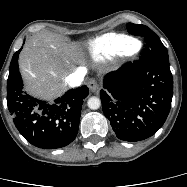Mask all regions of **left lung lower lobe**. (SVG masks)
Instances as JSON below:
<instances>
[{
  "mask_svg": "<svg viewBox=\"0 0 187 187\" xmlns=\"http://www.w3.org/2000/svg\"><path fill=\"white\" fill-rule=\"evenodd\" d=\"M103 85L102 109L119 139L144 140L164 124L173 96L169 61L139 59L106 75Z\"/></svg>",
  "mask_w": 187,
  "mask_h": 187,
  "instance_id": "obj_1",
  "label": "left lung lower lobe"
}]
</instances>
